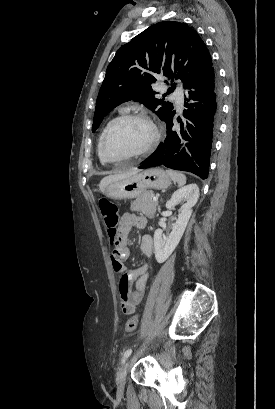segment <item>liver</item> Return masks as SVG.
<instances>
[{"instance_id": "6515ba94", "label": "liver", "mask_w": 275, "mask_h": 409, "mask_svg": "<svg viewBox=\"0 0 275 409\" xmlns=\"http://www.w3.org/2000/svg\"><path fill=\"white\" fill-rule=\"evenodd\" d=\"M137 172H139L138 168H133V170L121 172V174H109V176H104L99 182V190L105 192V188L110 182H115V180H120V178H127V176H132V174H137Z\"/></svg>"}]
</instances>
